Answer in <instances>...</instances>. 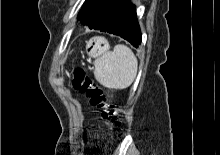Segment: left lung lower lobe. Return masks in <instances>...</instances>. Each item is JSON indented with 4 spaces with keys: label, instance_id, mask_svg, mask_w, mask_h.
I'll use <instances>...</instances> for the list:
<instances>
[{
    "label": "left lung lower lobe",
    "instance_id": "0a47b994",
    "mask_svg": "<svg viewBox=\"0 0 220 155\" xmlns=\"http://www.w3.org/2000/svg\"><path fill=\"white\" fill-rule=\"evenodd\" d=\"M82 25L120 36L134 47L141 43L136 8L128 0H97L80 19Z\"/></svg>",
    "mask_w": 220,
    "mask_h": 155
}]
</instances>
